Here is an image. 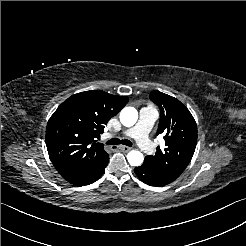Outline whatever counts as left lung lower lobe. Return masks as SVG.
<instances>
[{
  "instance_id": "left-lung-lower-lobe-1",
  "label": "left lung lower lobe",
  "mask_w": 246,
  "mask_h": 246,
  "mask_svg": "<svg viewBox=\"0 0 246 246\" xmlns=\"http://www.w3.org/2000/svg\"><path fill=\"white\" fill-rule=\"evenodd\" d=\"M134 172L141 181L150 186H162L171 181L167 175L153 166L148 156H146L143 165L135 168Z\"/></svg>"
}]
</instances>
